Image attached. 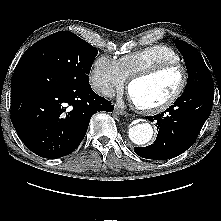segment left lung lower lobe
<instances>
[{"label":"left lung lower lobe","mask_w":221,"mask_h":221,"mask_svg":"<svg viewBox=\"0 0 221 221\" xmlns=\"http://www.w3.org/2000/svg\"><path fill=\"white\" fill-rule=\"evenodd\" d=\"M214 99L213 83L182 94L166 111L147 116L156 122L158 135L153 144L134 147L146 159L167 160L189 149L210 116Z\"/></svg>","instance_id":"left-lung-lower-lobe-1"}]
</instances>
